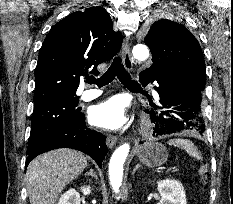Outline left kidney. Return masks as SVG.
Listing matches in <instances>:
<instances>
[{"label":"left kidney","instance_id":"1","mask_svg":"<svg viewBox=\"0 0 233 204\" xmlns=\"http://www.w3.org/2000/svg\"><path fill=\"white\" fill-rule=\"evenodd\" d=\"M157 189L161 195L157 204H187L184 187L177 180L164 179L157 182Z\"/></svg>","mask_w":233,"mask_h":204}]
</instances>
